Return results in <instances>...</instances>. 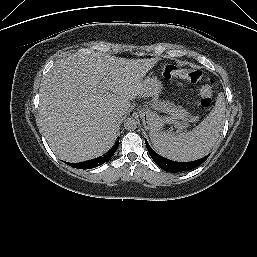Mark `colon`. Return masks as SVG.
Instances as JSON below:
<instances>
[{
	"label": "colon",
	"mask_w": 257,
	"mask_h": 257,
	"mask_svg": "<svg viewBox=\"0 0 257 257\" xmlns=\"http://www.w3.org/2000/svg\"><path fill=\"white\" fill-rule=\"evenodd\" d=\"M162 75L166 79L182 78L192 83H200L203 81L199 88L200 106L202 108H209L212 104L213 97L216 91V84L212 78L204 80L203 73L199 70L182 69L175 65H165L162 68Z\"/></svg>",
	"instance_id": "5ec220e1"
}]
</instances>
